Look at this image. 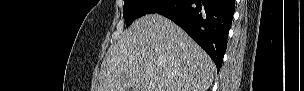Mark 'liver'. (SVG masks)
Here are the masks:
<instances>
[{"label":"liver","mask_w":304,"mask_h":91,"mask_svg":"<svg viewBox=\"0 0 304 91\" xmlns=\"http://www.w3.org/2000/svg\"><path fill=\"white\" fill-rule=\"evenodd\" d=\"M214 74L212 59L184 30L148 14L108 50L97 91H207Z\"/></svg>","instance_id":"1"}]
</instances>
